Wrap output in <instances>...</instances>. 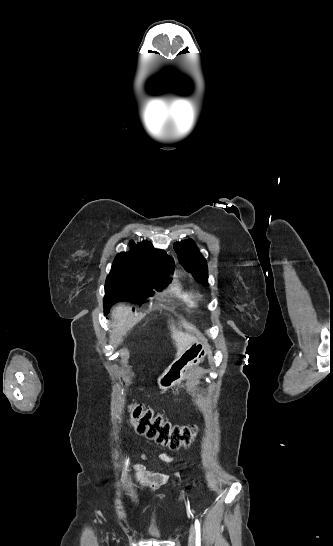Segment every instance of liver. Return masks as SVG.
Listing matches in <instances>:
<instances>
[{"label": "liver", "mask_w": 333, "mask_h": 546, "mask_svg": "<svg viewBox=\"0 0 333 546\" xmlns=\"http://www.w3.org/2000/svg\"><path fill=\"white\" fill-rule=\"evenodd\" d=\"M131 314V307L118 305L112 312V318L118 323L119 326H123L127 321V318ZM171 337L175 342L177 353L176 356H179L183 353L192 343L197 341V339L190 333H183L175 329L173 325L170 326Z\"/></svg>", "instance_id": "obj_1"}]
</instances>
